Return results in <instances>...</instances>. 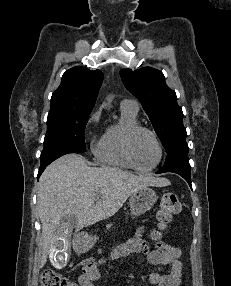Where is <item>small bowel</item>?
Returning <instances> with one entry per match:
<instances>
[{"label": "small bowel", "mask_w": 231, "mask_h": 286, "mask_svg": "<svg viewBox=\"0 0 231 286\" xmlns=\"http://www.w3.org/2000/svg\"><path fill=\"white\" fill-rule=\"evenodd\" d=\"M145 230V226L140 227L133 238L115 248L106 257L84 264L79 276V285L95 286V283L102 276L101 266L107 260L142 252L147 255L149 264L156 268V271L149 276L153 286H179L182 276V263L180 261L182 251L180 247L164 241H156L155 247L152 249L143 238ZM166 266L170 267V272L161 274V270Z\"/></svg>", "instance_id": "small-bowel-1"}]
</instances>
